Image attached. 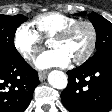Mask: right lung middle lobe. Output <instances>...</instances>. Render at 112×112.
Masks as SVG:
<instances>
[{
  "label": "right lung middle lobe",
  "mask_w": 112,
  "mask_h": 112,
  "mask_svg": "<svg viewBox=\"0 0 112 112\" xmlns=\"http://www.w3.org/2000/svg\"><path fill=\"white\" fill-rule=\"evenodd\" d=\"M28 18L23 15L7 16L0 14V62L20 57L14 46V35Z\"/></svg>",
  "instance_id": "1"
}]
</instances>
